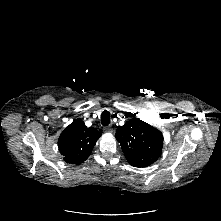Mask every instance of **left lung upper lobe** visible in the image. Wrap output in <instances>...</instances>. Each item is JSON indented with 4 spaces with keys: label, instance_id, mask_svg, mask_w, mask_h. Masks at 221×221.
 Returning a JSON list of instances; mask_svg holds the SVG:
<instances>
[{
    "label": "left lung upper lobe",
    "instance_id": "5c2ea615",
    "mask_svg": "<svg viewBox=\"0 0 221 221\" xmlns=\"http://www.w3.org/2000/svg\"><path fill=\"white\" fill-rule=\"evenodd\" d=\"M115 136L121 144L125 158L132 166H149L161 154L162 133L138 118L133 117L124 126H119Z\"/></svg>",
    "mask_w": 221,
    "mask_h": 221
}]
</instances>
